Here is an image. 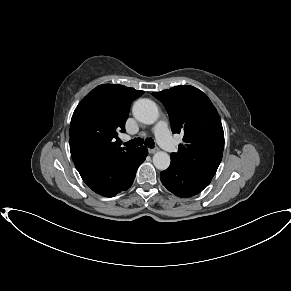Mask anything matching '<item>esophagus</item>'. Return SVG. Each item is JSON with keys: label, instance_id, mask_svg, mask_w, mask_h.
I'll list each match as a JSON object with an SVG mask.
<instances>
[{"label": "esophagus", "instance_id": "obj_1", "mask_svg": "<svg viewBox=\"0 0 291 291\" xmlns=\"http://www.w3.org/2000/svg\"><path fill=\"white\" fill-rule=\"evenodd\" d=\"M158 150H159L158 148L148 149V152H149L150 154H154V153H156Z\"/></svg>", "mask_w": 291, "mask_h": 291}]
</instances>
